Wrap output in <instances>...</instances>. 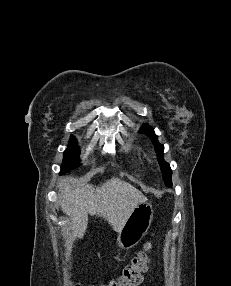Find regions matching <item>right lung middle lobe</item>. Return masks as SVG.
Returning <instances> with one entry per match:
<instances>
[{"label": "right lung middle lobe", "mask_w": 231, "mask_h": 286, "mask_svg": "<svg viewBox=\"0 0 231 286\" xmlns=\"http://www.w3.org/2000/svg\"><path fill=\"white\" fill-rule=\"evenodd\" d=\"M74 141V139H73ZM79 149L78 147L72 144L70 148L66 149L64 152V160L62 164V172L60 174H64L65 172L70 171L71 169L76 168L78 165V157H79Z\"/></svg>", "instance_id": "dd1d6c3e"}]
</instances>
